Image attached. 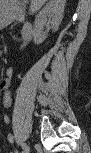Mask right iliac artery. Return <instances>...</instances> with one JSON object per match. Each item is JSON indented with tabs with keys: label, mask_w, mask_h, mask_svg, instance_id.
Returning a JSON list of instances; mask_svg holds the SVG:
<instances>
[{
	"label": "right iliac artery",
	"mask_w": 91,
	"mask_h": 153,
	"mask_svg": "<svg viewBox=\"0 0 91 153\" xmlns=\"http://www.w3.org/2000/svg\"><path fill=\"white\" fill-rule=\"evenodd\" d=\"M26 145L25 144H22V147L24 148Z\"/></svg>",
	"instance_id": "1"
}]
</instances>
